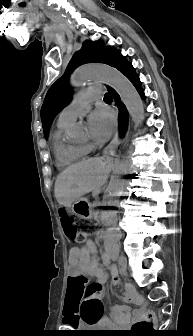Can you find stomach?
<instances>
[{
  "label": "stomach",
  "instance_id": "0dacf381",
  "mask_svg": "<svg viewBox=\"0 0 193 336\" xmlns=\"http://www.w3.org/2000/svg\"><path fill=\"white\" fill-rule=\"evenodd\" d=\"M71 210L83 219H89L92 214L91 205L86 198H80L74 201L71 205Z\"/></svg>",
  "mask_w": 193,
  "mask_h": 336
}]
</instances>
